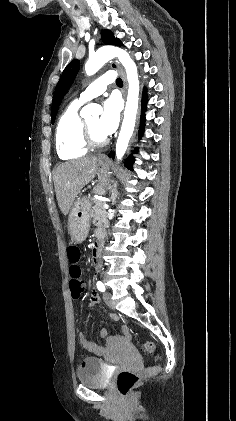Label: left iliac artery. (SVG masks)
<instances>
[{
	"instance_id": "1",
	"label": "left iliac artery",
	"mask_w": 236,
	"mask_h": 421,
	"mask_svg": "<svg viewBox=\"0 0 236 421\" xmlns=\"http://www.w3.org/2000/svg\"><path fill=\"white\" fill-rule=\"evenodd\" d=\"M96 285L99 291L101 292L105 291V285L101 281H98Z\"/></svg>"
}]
</instances>
